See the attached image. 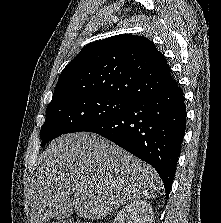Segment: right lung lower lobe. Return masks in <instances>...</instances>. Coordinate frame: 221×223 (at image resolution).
Returning <instances> with one entry per match:
<instances>
[{
	"mask_svg": "<svg viewBox=\"0 0 221 223\" xmlns=\"http://www.w3.org/2000/svg\"><path fill=\"white\" fill-rule=\"evenodd\" d=\"M183 91L175 86L134 101L120 114L90 127L141 160L160 175L168 198L186 128Z\"/></svg>",
	"mask_w": 221,
	"mask_h": 223,
	"instance_id": "1",
	"label": "right lung lower lobe"
}]
</instances>
